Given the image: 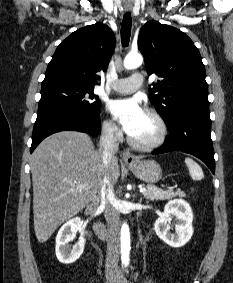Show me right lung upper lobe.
<instances>
[{
	"mask_svg": "<svg viewBox=\"0 0 233 283\" xmlns=\"http://www.w3.org/2000/svg\"><path fill=\"white\" fill-rule=\"evenodd\" d=\"M114 47L115 36L106 24L78 29L57 47L42 83L64 81L94 89L97 73L107 70Z\"/></svg>",
	"mask_w": 233,
	"mask_h": 283,
	"instance_id": "right-lung-upper-lobe-1",
	"label": "right lung upper lobe"
}]
</instances>
